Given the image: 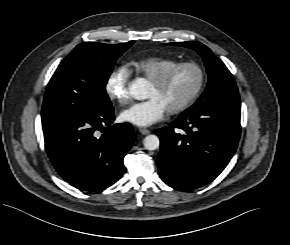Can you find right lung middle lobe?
Masks as SVG:
<instances>
[{"label": "right lung middle lobe", "instance_id": "right-lung-middle-lobe-1", "mask_svg": "<svg viewBox=\"0 0 290 245\" xmlns=\"http://www.w3.org/2000/svg\"><path fill=\"white\" fill-rule=\"evenodd\" d=\"M133 43L84 42L77 45L48 83L42 118L70 117L111 109L105 86L116 60Z\"/></svg>", "mask_w": 290, "mask_h": 245}]
</instances>
